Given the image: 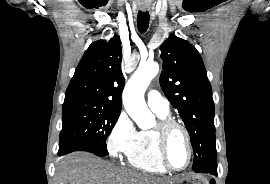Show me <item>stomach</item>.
Listing matches in <instances>:
<instances>
[{"mask_svg":"<svg viewBox=\"0 0 270 184\" xmlns=\"http://www.w3.org/2000/svg\"><path fill=\"white\" fill-rule=\"evenodd\" d=\"M170 184H209V183L204 177L192 174L182 176L176 179L174 183Z\"/></svg>","mask_w":270,"mask_h":184,"instance_id":"1","label":"stomach"}]
</instances>
